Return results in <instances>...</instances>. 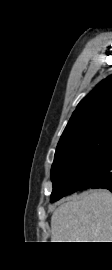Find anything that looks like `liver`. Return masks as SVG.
Instances as JSON below:
<instances>
[{"instance_id": "liver-1", "label": "liver", "mask_w": 112, "mask_h": 270, "mask_svg": "<svg viewBox=\"0 0 112 270\" xmlns=\"http://www.w3.org/2000/svg\"><path fill=\"white\" fill-rule=\"evenodd\" d=\"M52 242H112V193L99 189L71 197L51 217Z\"/></svg>"}]
</instances>
